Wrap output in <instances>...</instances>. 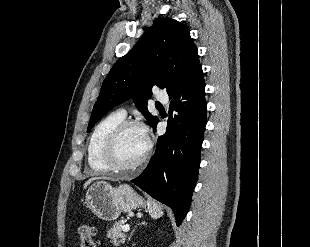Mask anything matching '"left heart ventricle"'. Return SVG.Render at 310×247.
<instances>
[{
  "label": "left heart ventricle",
  "mask_w": 310,
  "mask_h": 247,
  "mask_svg": "<svg viewBox=\"0 0 310 247\" xmlns=\"http://www.w3.org/2000/svg\"><path fill=\"white\" fill-rule=\"evenodd\" d=\"M147 138L139 128L125 130L116 144V159L121 165H131L138 161L145 152Z\"/></svg>",
  "instance_id": "1"
}]
</instances>
